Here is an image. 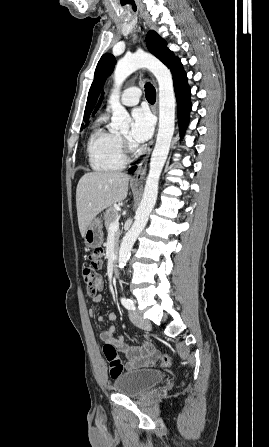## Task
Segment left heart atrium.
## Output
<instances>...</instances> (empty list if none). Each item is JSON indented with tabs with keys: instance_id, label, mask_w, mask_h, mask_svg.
Returning a JSON list of instances; mask_svg holds the SVG:
<instances>
[{
	"instance_id": "obj_1",
	"label": "left heart atrium",
	"mask_w": 269,
	"mask_h": 447,
	"mask_svg": "<svg viewBox=\"0 0 269 447\" xmlns=\"http://www.w3.org/2000/svg\"><path fill=\"white\" fill-rule=\"evenodd\" d=\"M132 118V140L137 144L147 141L154 131V122L151 114L145 108H136L133 110Z\"/></svg>"
}]
</instances>
